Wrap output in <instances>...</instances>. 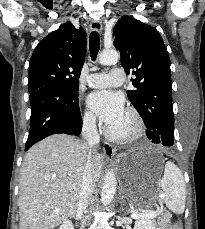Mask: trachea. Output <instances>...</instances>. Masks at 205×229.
<instances>
[{"instance_id": "trachea-1", "label": "trachea", "mask_w": 205, "mask_h": 229, "mask_svg": "<svg viewBox=\"0 0 205 229\" xmlns=\"http://www.w3.org/2000/svg\"><path fill=\"white\" fill-rule=\"evenodd\" d=\"M89 49H90V57L93 61H95L100 49V38L98 32L96 31H93L90 34Z\"/></svg>"}]
</instances>
